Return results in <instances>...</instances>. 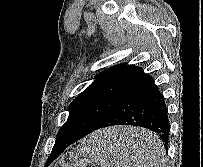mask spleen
Returning <instances> with one entry per match:
<instances>
[{
  "label": "spleen",
  "mask_w": 203,
  "mask_h": 167,
  "mask_svg": "<svg viewBox=\"0 0 203 167\" xmlns=\"http://www.w3.org/2000/svg\"><path fill=\"white\" fill-rule=\"evenodd\" d=\"M112 148L113 139L97 132L81 142L79 152L101 167H131L128 163L114 160ZM165 162V149L161 141L149 133L140 142L138 167H165Z\"/></svg>",
  "instance_id": "3e777b00"
}]
</instances>
